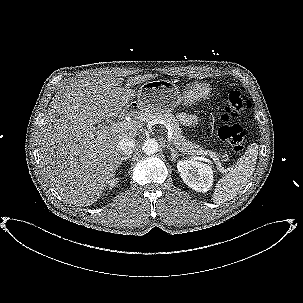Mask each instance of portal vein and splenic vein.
I'll return each mask as SVG.
<instances>
[{
	"label": "portal vein and splenic vein",
	"mask_w": 303,
	"mask_h": 303,
	"mask_svg": "<svg viewBox=\"0 0 303 303\" xmlns=\"http://www.w3.org/2000/svg\"><path fill=\"white\" fill-rule=\"evenodd\" d=\"M158 121V120H157ZM160 123H162L163 121H158ZM137 124L131 121H122V122H116V123H112L110 126L108 127H103L102 130L106 131V129L110 130V131H118V130H128V129H132L133 126H136ZM102 134V133H100ZM168 141L172 142V132L171 130H169L168 132ZM178 148V147H176ZM180 151L181 149L178 148ZM198 155H208L207 153H201ZM214 161L215 164L217 165V167L221 170V171H225L222 167H221V163L218 161V159L214 156V155H209ZM200 159V157L198 158Z\"/></svg>",
	"instance_id": "18ae733b"
}]
</instances>
